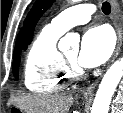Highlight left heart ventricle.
Returning <instances> with one entry per match:
<instances>
[{
    "instance_id": "left-heart-ventricle-1",
    "label": "left heart ventricle",
    "mask_w": 123,
    "mask_h": 113,
    "mask_svg": "<svg viewBox=\"0 0 123 113\" xmlns=\"http://www.w3.org/2000/svg\"><path fill=\"white\" fill-rule=\"evenodd\" d=\"M66 55H67L71 60H74V61H75L76 55H77V51L66 52Z\"/></svg>"
}]
</instances>
